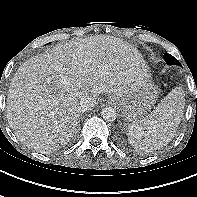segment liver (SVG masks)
Listing matches in <instances>:
<instances>
[{
  "instance_id": "6515ba94",
  "label": "liver",
  "mask_w": 197,
  "mask_h": 197,
  "mask_svg": "<svg viewBox=\"0 0 197 197\" xmlns=\"http://www.w3.org/2000/svg\"><path fill=\"white\" fill-rule=\"evenodd\" d=\"M149 78L142 55L119 38L95 35L54 46L24 62L7 98V118L18 140L48 154L65 145L77 125L79 102L128 96Z\"/></svg>"
}]
</instances>
